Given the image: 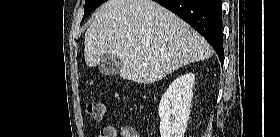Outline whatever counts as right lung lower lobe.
Instances as JSON below:
<instances>
[{
    "label": "right lung lower lobe",
    "mask_w": 280,
    "mask_h": 137,
    "mask_svg": "<svg viewBox=\"0 0 280 137\" xmlns=\"http://www.w3.org/2000/svg\"><path fill=\"white\" fill-rule=\"evenodd\" d=\"M166 7L195 30L214 48L221 64L224 61L221 0H154Z\"/></svg>",
    "instance_id": "obj_1"
}]
</instances>
